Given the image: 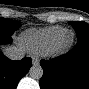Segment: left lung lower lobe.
Masks as SVG:
<instances>
[{"label":"left lung lower lobe","instance_id":"1","mask_svg":"<svg viewBox=\"0 0 89 89\" xmlns=\"http://www.w3.org/2000/svg\"><path fill=\"white\" fill-rule=\"evenodd\" d=\"M41 89H89V38H78L67 54L41 60Z\"/></svg>","mask_w":89,"mask_h":89}]
</instances>
